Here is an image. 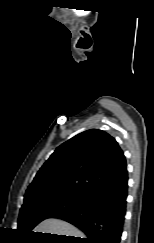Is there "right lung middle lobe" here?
<instances>
[{"mask_svg":"<svg viewBox=\"0 0 154 243\" xmlns=\"http://www.w3.org/2000/svg\"><path fill=\"white\" fill-rule=\"evenodd\" d=\"M86 200L87 198L70 195H55L25 202L19 213L18 231L21 235H28L44 219L53 218L61 212L82 206Z\"/></svg>","mask_w":154,"mask_h":243,"instance_id":"1","label":"right lung middle lobe"}]
</instances>
